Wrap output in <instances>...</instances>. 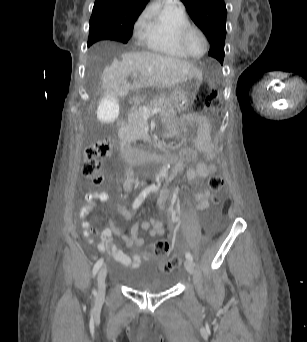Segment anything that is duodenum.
<instances>
[{
    "instance_id": "1",
    "label": "duodenum",
    "mask_w": 307,
    "mask_h": 342,
    "mask_svg": "<svg viewBox=\"0 0 307 342\" xmlns=\"http://www.w3.org/2000/svg\"><path fill=\"white\" fill-rule=\"evenodd\" d=\"M119 126L120 128H127L128 126V119L127 117H120L119 119ZM120 144V154L121 157L128 162L129 164L132 165H137V166H144L146 165L149 161H161L165 164L169 165H174V157L171 155H166L163 158L156 157L154 154L151 152H146L140 149L133 148L131 146H128L124 142V137L121 135L120 139L118 140Z\"/></svg>"
}]
</instances>
